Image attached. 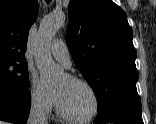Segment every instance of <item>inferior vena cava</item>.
<instances>
[{
	"mask_svg": "<svg viewBox=\"0 0 156 124\" xmlns=\"http://www.w3.org/2000/svg\"><path fill=\"white\" fill-rule=\"evenodd\" d=\"M27 124H47L45 105L41 99H32V105Z\"/></svg>",
	"mask_w": 156,
	"mask_h": 124,
	"instance_id": "1",
	"label": "inferior vena cava"
}]
</instances>
